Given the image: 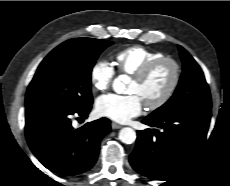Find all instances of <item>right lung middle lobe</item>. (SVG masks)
I'll use <instances>...</instances> for the list:
<instances>
[{
  "label": "right lung middle lobe",
  "mask_w": 230,
  "mask_h": 186,
  "mask_svg": "<svg viewBox=\"0 0 230 186\" xmlns=\"http://www.w3.org/2000/svg\"><path fill=\"white\" fill-rule=\"evenodd\" d=\"M111 41L74 38L53 49L29 84L25 107L52 105L68 110L92 103L91 72L99 54Z\"/></svg>",
  "instance_id": "1"
}]
</instances>
